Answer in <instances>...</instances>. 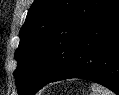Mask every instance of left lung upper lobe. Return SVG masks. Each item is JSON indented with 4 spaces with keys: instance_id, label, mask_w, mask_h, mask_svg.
<instances>
[{
    "instance_id": "left-lung-upper-lobe-1",
    "label": "left lung upper lobe",
    "mask_w": 119,
    "mask_h": 95,
    "mask_svg": "<svg viewBox=\"0 0 119 95\" xmlns=\"http://www.w3.org/2000/svg\"><path fill=\"white\" fill-rule=\"evenodd\" d=\"M117 0H35L20 30L14 72L19 95H32L71 62L86 31Z\"/></svg>"
}]
</instances>
